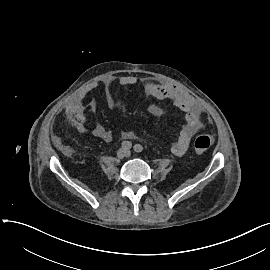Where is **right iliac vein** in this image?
I'll use <instances>...</instances> for the list:
<instances>
[{
	"mask_svg": "<svg viewBox=\"0 0 270 270\" xmlns=\"http://www.w3.org/2000/svg\"><path fill=\"white\" fill-rule=\"evenodd\" d=\"M125 155H126V150H125L124 148H121V149L118 150V152H117V157H118L119 159L124 158Z\"/></svg>",
	"mask_w": 270,
	"mask_h": 270,
	"instance_id": "63e3f726",
	"label": "right iliac vein"
}]
</instances>
